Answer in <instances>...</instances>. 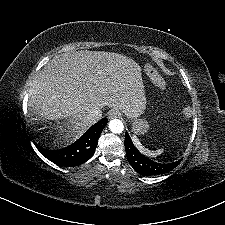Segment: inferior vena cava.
Returning <instances> with one entry per match:
<instances>
[{
    "label": "inferior vena cava",
    "mask_w": 225,
    "mask_h": 225,
    "mask_svg": "<svg viewBox=\"0 0 225 225\" xmlns=\"http://www.w3.org/2000/svg\"><path fill=\"white\" fill-rule=\"evenodd\" d=\"M106 103L94 102L89 105V112L92 115L99 116L101 115L102 110L105 108Z\"/></svg>",
    "instance_id": "inferior-vena-cava-1"
}]
</instances>
